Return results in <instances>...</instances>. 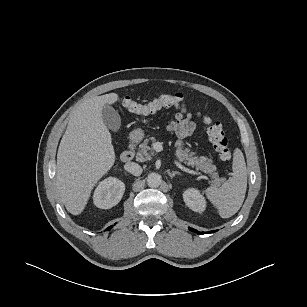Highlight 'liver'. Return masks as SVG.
Masks as SVG:
<instances>
[{
  "label": "liver",
  "instance_id": "6515ba94",
  "mask_svg": "<svg viewBox=\"0 0 307 307\" xmlns=\"http://www.w3.org/2000/svg\"><path fill=\"white\" fill-rule=\"evenodd\" d=\"M116 93L84 101L73 113L57 153L56 186L68 212L79 215L95 184L113 166L111 134L103 122L102 108L118 100Z\"/></svg>",
  "mask_w": 307,
  "mask_h": 307
}]
</instances>
